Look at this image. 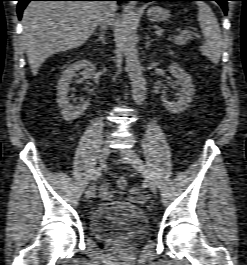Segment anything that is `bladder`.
<instances>
[{"label":"bladder","instance_id":"31cf9c89","mask_svg":"<svg viewBox=\"0 0 247 265\" xmlns=\"http://www.w3.org/2000/svg\"><path fill=\"white\" fill-rule=\"evenodd\" d=\"M93 237L101 242H135L148 231L143 208L119 201L104 202L91 214Z\"/></svg>","mask_w":247,"mask_h":265}]
</instances>
